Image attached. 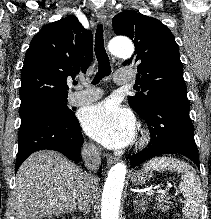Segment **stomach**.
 Here are the masks:
<instances>
[{
	"mask_svg": "<svg viewBox=\"0 0 211 219\" xmlns=\"http://www.w3.org/2000/svg\"><path fill=\"white\" fill-rule=\"evenodd\" d=\"M149 178L150 176L145 171H136L131 175V182L134 185H143Z\"/></svg>",
	"mask_w": 211,
	"mask_h": 219,
	"instance_id": "1",
	"label": "stomach"
}]
</instances>
